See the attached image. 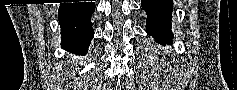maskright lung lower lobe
<instances>
[{"mask_svg": "<svg viewBox=\"0 0 237 90\" xmlns=\"http://www.w3.org/2000/svg\"><path fill=\"white\" fill-rule=\"evenodd\" d=\"M94 2L61 3L58 11L62 48L84 55L94 36L91 15Z\"/></svg>", "mask_w": 237, "mask_h": 90, "instance_id": "obj_1", "label": "right lung lower lobe"}]
</instances>
